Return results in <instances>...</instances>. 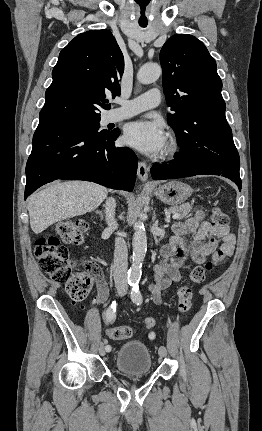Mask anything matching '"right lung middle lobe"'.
Listing matches in <instances>:
<instances>
[{"label":"right lung middle lobe","instance_id":"dd1d6c3e","mask_svg":"<svg viewBox=\"0 0 262 431\" xmlns=\"http://www.w3.org/2000/svg\"><path fill=\"white\" fill-rule=\"evenodd\" d=\"M99 121H100V117H95V118H88V119H74V120L67 121V123L80 125L88 129L89 131L97 132L99 129ZM98 133L105 134V133H108V131H101Z\"/></svg>","mask_w":262,"mask_h":431}]
</instances>
